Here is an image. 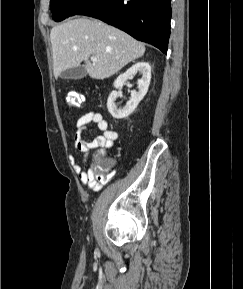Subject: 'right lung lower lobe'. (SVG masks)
<instances>
[{"label":"right lung lower lobe","instance_id":"98d812e1","mask_svg":"<svg viewBox=\"0 0 243 289\" xmlns=\"http://www.w3.org/2000/svg\"><path fill=\"white\" fill-rule=\"evenodd\" d=\"M171 13L170 0H86L71 16L100 19L167 53Z\"/></svg>","mask_w":243,"mask_h":289}]
</instances>
